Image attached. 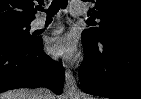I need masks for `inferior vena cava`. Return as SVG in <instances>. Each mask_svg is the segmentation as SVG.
I'll return each instance as SVG.
<instances>
[{
	"label": "inferior vena cava",
	"instance_id": "inferior-vena-cava-1",
	"mask_svg": "<svg viewBox=\"0 0 141 99\" xmlns=\"http://www.w3.org/2000/svg\"><path fill=\"white\" fill-rule=\"evenodd\" d=\"M35 99H54L52 92L47 88H38L34 92Z\"/></svg>",
	"mask_w": 141,
	"mask_h": 99
}]
</instances>
